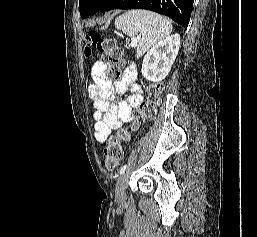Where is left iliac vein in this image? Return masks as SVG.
Segmentation results:
<instances>
[{
    "mask_svg": "<svg viewBox=\"0 0 257 237\" xmlns=\"http://www.w3.org/2000/svg\"><path fill=\"white\" fill-rule=\"evenodd\" d=\"M128 178V173H123L117 181L115 190V199L121 202L125 199V186Z\"/></svg>",
    "mask_w": 257,
    "mask_h": 237,
    "instance_id": "obj_1",
    "label": "left iliac vein"
}]
</instances>
